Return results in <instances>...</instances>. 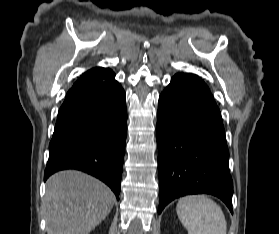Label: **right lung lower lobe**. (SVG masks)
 <instances>
[{
    "label": "right lung lower lobe",
    "mask_w": 279,
    "mask_h": 234,
    "mask_svg": "<svg viewBox=\"0 0 279 234\" xmlns=\"http://www.w3.org/2000/svg\"><path fill=\"white\" fill-rule=\"evenodd\" d=\"M126 94L108 68L85 72L59 109L44 181L77 169L105 182L119 200L126 141Z\"/></svg>",
    "instance_id": "right-lung-lower-lobe-1"
}]
</instances>
